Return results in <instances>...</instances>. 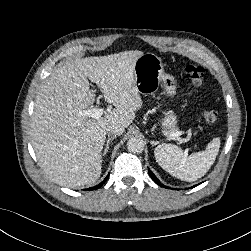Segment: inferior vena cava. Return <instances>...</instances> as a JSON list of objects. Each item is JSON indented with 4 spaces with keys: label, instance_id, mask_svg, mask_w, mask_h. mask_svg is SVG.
I'll return each instance as SVG.
<instances>
[{
    "label": "inferior vena cava",
    "instance_id": "1",
    "mask_svg": "<svg viewBox=\"0 0 251 251\" xmlns=\"http://www.w3.org/2000/svg\"><path fill=\"white\" fill-rule=\"evenodd\" d=\"M108 134L121 135L124 132V128L118 125H110L106 128Z\"/></svg>",
    "mask_w": 251,
    "mask_h": 251
}]
</instances>
